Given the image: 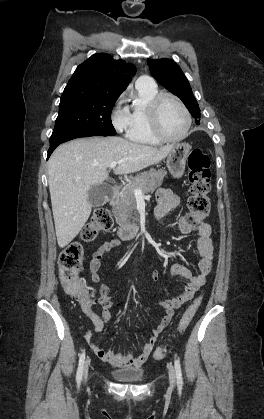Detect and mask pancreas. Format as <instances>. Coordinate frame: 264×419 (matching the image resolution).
<instances>
[{"label": "pancreas", "instance_id": "obj_1", "mask_svg": "<svg viewBox=\"0 0 264 419\" xmlns=\"http://www.w3.org/2000/svg\"><path fill=\"white\" fill-rule=\"evenodd\" d=\"M166 174V171L163 169H151L150 171L137 174L128 185L121 189L119 198L112 208L119 225L128 226L137 220L134 190L140 189L142 194L154 192L155 189L161 186Z\"/></svg>", "mask_w": 264, "mask_h": 419}]
</instances>
